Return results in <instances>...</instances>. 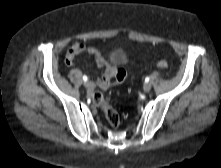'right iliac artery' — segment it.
Listing matches in <instances>:
<instances>
[{"label":"right iliac artery","mask_w":221,"mask_h":168,"mask_svg":"<svg viewBox=\"0 0 221 168\" xmlns=\"http://www.w3.org/2000/svg\"><path fill=\"white\" fill-rule=\"evenodd\" d=\"M83 80L86 82L88 80L87 76H83Z\"/></svg>","instance_id":"obj_1"}]
</instances>
